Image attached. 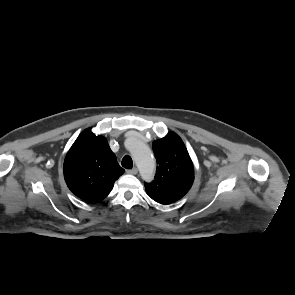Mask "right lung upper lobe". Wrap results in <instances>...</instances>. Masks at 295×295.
Masks as SVG:
<instances>
[{
    "instance_id": "1",
    "label": "right lung upper lobe",
    "mask_w": 295,
    "mask_h": 295,
    "mask_svg": "<svg viewBox=\"0 0 295 295\" xmlns=\"http://www.w3.org/2000/svg\"><path fill=\"white\" fill-rule=\"evenodd\" d=\"M64 178L74 195L87 202L105 199L124 173L106 138L84 130L68 151Z\"/></svg>"
}]
</instances>
